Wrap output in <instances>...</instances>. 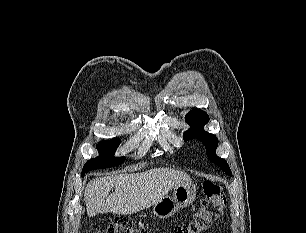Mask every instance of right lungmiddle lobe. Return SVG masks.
Returning <instances> with one entry per match:
<instances>
[{"label":"right lung middle lobe","instance_id":"obj_1","mask_svg":"<svg viewBox=\"0 0 306 233\" xmlns=\"http://www.w3.org/2000/svg\"><path fill=\"white\" fill-rule=\"evenodd\" d=\"M119 144L120 139L118 138L99 142L97 145V150L99 151L100 155L97 158L90 159L86 162L82 170V177L85 175V173L93 169L114 167L122 163L126 159L125 157L113 156Z\"/></svg>","mask_w":306,"mask_h":233}]
</instances>
